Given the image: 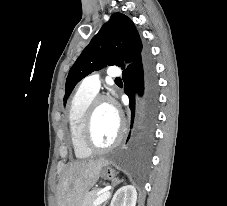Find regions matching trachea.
<instances>
[{
  "label": "trachea",
  "mask_w": 227,
  "mask_h": 206,
  "mask_svg": "<svg viewBox=\"0 0 227 206\" xmlns=\"http://www.w3.org/2000/svg\"><path fill=\"white\" fill-rule=\"evenodd\" d=\"M115 81H121V78H116Z\"/></svg>",
  "instance_id": "obj_1"
}]
</instances>
